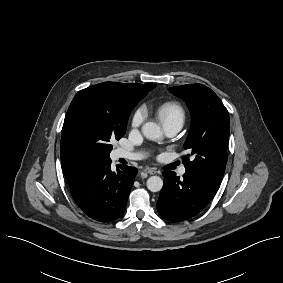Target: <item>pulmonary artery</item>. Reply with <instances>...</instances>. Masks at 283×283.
Here are the masks:
<instances>
[{"mask_svg": "<svg viewBox=\"0 0 283 283\" xmlns=\"http://www.w3.org/2000/svg\"><path fill=\"white\" fill-rule=\"evenodd\" d=\"M182 128V124L180 123H176V122H170L164 125V131L165 134L168 137H173L175 136ZM115 158L119 159V158H123V159H141L143 158V154L140 152H130L127 151L125 149L119 148L115 151L114 154ZM186 172V169L184 167H182L179 170V174L183 175Z\"/></svg>", "mask_w": 283, "mask_h": 283, "instance_id": "e3ab8cb5", "label": "pulmonary artery"}]
</instances>
